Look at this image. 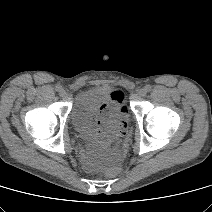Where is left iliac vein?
<instances>
[{"mask_svg":"<svg viewBox=\"0 0 212 212\" xmlns=\"http://www.w3.org/2000/svg\"><path fill=\"white\" fill-rule=\"evenodd\" d=\"M147 94V90L145 88H141L138 90V95L144 97Z\"/></svg>","mask_w":212,"mask_h":212,"instance_id":"1","label":"left iliac vein"}]
</instances>
